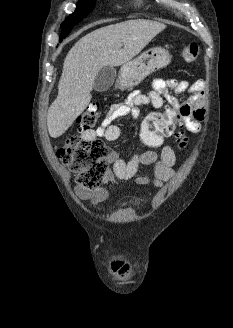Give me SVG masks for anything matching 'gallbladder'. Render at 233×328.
Instances as JSON below:
<instances>
[{
  "label": "gallbladder",
  "mask_w": 233,
  "mask_h": 328,
  "mask_svg": "<svg viewBox=\"0 0 233 328\" xmlns=\"http://www.w3.org/2000/svg\"><path fill=\"white\" fill-rule=\"evenodd\" d=\"M116 70L112 66H104L100 69L94 80L93 89L97 92L108 90L114 83Z\"/></svg>",
  "instance_id": "obj_1"
}]
</instances>
